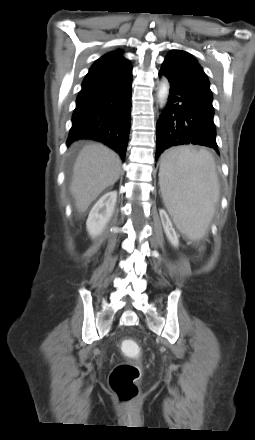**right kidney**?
I'll return each instance as SVG.
<instances>
[{"mask_svg": "<svg viewBox=\"0 0 255 440\" xmlns=\"http://www.w3.org/2000/svg\"><path fill=\"white\" fill-rule=\"evenodd\" d=\"M116 200L117 191H110L104 194L91 209L86 227L92 238H96L104 230L113 215Z\"/></svg>", "mask_w": 255, "mask_h": 440, "instance_id": "1", "label": "right kidney"}]
</instances>
